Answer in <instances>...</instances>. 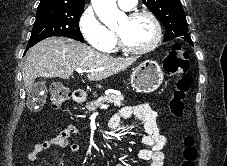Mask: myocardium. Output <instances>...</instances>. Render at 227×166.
<instances>
[{
	"label": "myocardium",
	"mask_w": 227,
	"mask_h": 166,
	"mask_svg": "<svg viewBox=\"0 0 227 166\" xmlns=\"http://www.w3.org/2000/svg\"><path fill=\"white\" fill-rule=\"evenodd\" d=\"M125 16L129 20H134L139 17L149 18L151 20V22L153 23V26L155 29V35H154V38L151 41V43L148 44L147 46L142 47V48H133V47L128 46L123 41L120 34L117 31H115L114 32L115 38H116V42H117V45L119 46V48L122 49L124 52L133 54V55H144V54H147V53L153 51L159 45L161 38H162V28H161V24H160L158 18L152 12L146 11V10L131 11V12H128Z\"/></svg>",
	"instance_id": "f54148a6"
}]
</instances>
